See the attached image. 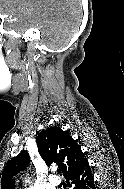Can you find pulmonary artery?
<instances>
[{
	"label": "pulmonary artery",
	"instance_id": "obj_1",
	"mask_svg": "<svg viewBox=\"0 0 124 189\" xmlns=\"http://www.w3.org/2000/svg\"><path fill=\"white\" fill-rule=\"evenodd\" d=\"M60 179L57 177V176H52L51 178H50V184L52 185V186H58L59 184H60Z\"/></svg>",
	"mask_w": 124,
	"mask_h": 189
}]
</instances>
